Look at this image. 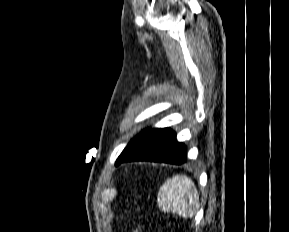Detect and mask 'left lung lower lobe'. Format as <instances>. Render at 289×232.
<instances>
[{
    "mask_svg": "<svg viewBox=\"0 0 289 232\" xmlns=\"http://www.w3.org/2000/svg\"><path fill=\"white\" fill-rule=\"evenodd\" d=\"M129 161H154L179 165L186 162V149L183 143L177 142L176 135L171 129L164 128L123 162Z\"/></svg>",
    "mask_w": 289,
    "mask_h": 232,
    "instance_id": "left-lung-lower-lobe-1",
    "label": "left lung lower lobe"
}]
</instances>
